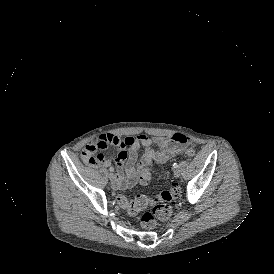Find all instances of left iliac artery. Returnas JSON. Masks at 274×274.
<instances>
[{
  "label": "left iliac artery",
  "instance_id": "obj_1",
  "mask_svg": "<svg viewBox=\"0 0 274 274\" xmlns=\"http://www.w3.org/2000/svg\"><path fill=\"white\" fill-rule=\"evenodd\" d=\"M178 167V164L177 163H174L173 164V168L175 169V168H177Z\"/></svg>",
  "mask_w": 274,
  "mask_h": 274
}]
</instances>
